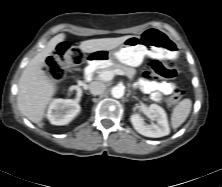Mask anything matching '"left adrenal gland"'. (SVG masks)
I'll return each instance as SVG.
<instances>
[{
  "label": "left adrenal gland",
  "mask_w": 222,
  "mask_h": 187,
  "mask_svg": "<svg viewBox=\"0 0 222 187\" xmlns=\"http://www.w3.org/2000/svg\"><path fill=\"white\" fill-rule=\"evenodd\" d=\"M132 98L137 99L135 96H132Z\"/></svg>",
  "instance_id": "1"
}]
</instances>
